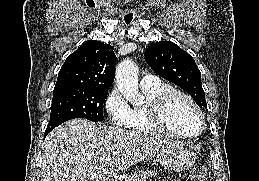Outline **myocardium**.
Wrapping results in <instances>:
<instances>
[{
  "label": "myocardium",
  "instance_id": "1",
  "mask_svg": "<svg viewBox=\"0 0 259 181\" xmlns=\"http://www.w3.org/2000/svg\"><path fill=\"white\" fill-rule=\"evenodd\" d=\"M176 97H181L188 101L195 111L198 114L200 120V127L199 130L195 134H182L173 130L166 122V111L172 102V100ZM149 114L153 125L160 130L161 132L174 136L180 139H193L200 136L205 128V117L204 114L198 105V103L187 93L174 89L169 88L162 93H160L150 104L149 107Z\"/></svg>",
  "mask_w": 259,
  "mask_h": 181
}]
</instances>
